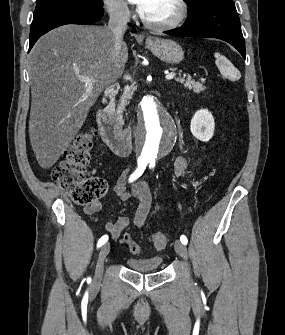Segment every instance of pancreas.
<instances>
[{
	"mask_svg": "<svg viewBox=\"0 0 285 335\" xmlns=\"http://www.w3.org/2000/svg\"><path fill=\"white\" fill-rule=\"evenodd\" d=\"M172 72H175L177 68H171ZM176 82H180V84H184L185 88H188V90H193V92H196V94H200V92H203L205 90V86L203 84H200V82H195V80H192L191 76H188V74H184L181 78H175ZM134 94V88H127L126 92H124L123 96L120 98V104H118L115 114H111V117L116 118L118 122H121L122 124V114L125 112L126 106H128L131 96Z\"/></svg>",
	"mask_w": 285,
	"mask_h": 335,
	"instance_id": "pancreas-1",
	"label": "pancreas"
}]
</instances>
